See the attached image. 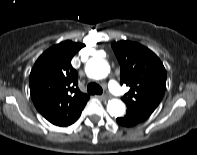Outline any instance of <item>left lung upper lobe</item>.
Wrapping results in <instances>:
<instances>
[{"label": "left lung upper lobe", "instance_id": "5c2ea615", "mask_svg": "<svg viewBox=\"0 0 197 155\" xmlns=\"http://www.w3.org/2000/svg\"><path fill=\"white\" fill-rule=\"evenodd\" d=\"M112 48L121 67L120 81L130 87L122 100L127 114L146 120L161 102L166 88V70L148 48L131 41H120Z\"/></svg>", "mask_w": 197, "mask_h": 155}]
</instances>
